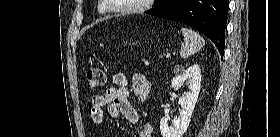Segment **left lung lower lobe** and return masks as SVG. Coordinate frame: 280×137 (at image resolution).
I'll return each mask as SVG.
<instances>
[{
  "mask_svg": "<svg viewBox=\"0 0 280 137\" xmlns=\"http://www.w3.org/2000/svg\"><path fill=\"white\" fill-rule=\"evenodd\" d=\"M229 0H162L149 15L187 24L207 36L223 57Z\"/></svg>",
  "mask_w": 280,
  "mask_h": 137,
  "instance_id": "left-lung-lower-lobe-1",
  "label": "left lung lower lobe"
}]
</instances>
